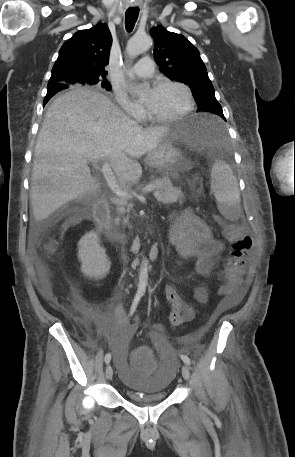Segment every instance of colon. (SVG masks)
<instances>
[{"instance_id": "colon-1", "label": "colon", "mask_w": 295, "mask_h": 457, "mask_svg": "<svg viewBox=\"0 0 295 457\" xmlns=\"http://www.w3.org/2000/svg\"><path fill=\"white\" fill-rule=\"evenodd\" d=\"M223 234L228 241L230 249L222 272V277L227 280L224 293L227 295L234 291L240 284L244 264L252 246V239L244 231L242 225L226 223ZM152 346H133L131 352V372H155L156 360L152 357Z\"/></svg>"}]
</instances>
